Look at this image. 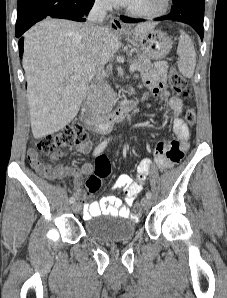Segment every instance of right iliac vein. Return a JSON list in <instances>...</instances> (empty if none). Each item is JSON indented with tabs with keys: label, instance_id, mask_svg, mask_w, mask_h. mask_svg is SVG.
Listing matches in <instances>:
<instances>
[{
	"label": "right iliac vein",
	"instance_id": "1",
	"mask_svg": "<svg viewBox=\"0 0 227 298\" xmlns=\"http://www.w3.org/2000/svg\"><path fill=\"white\" fill-rule=\"evenodd\" d=\"M72 209H73V211H74L75 213H79V212L81 211V209H82V206H81L80 203H74V204L72 205Z\"/></svg>",
	"mask_w": 227,
	"mask_h": 298
}]
</instances>
